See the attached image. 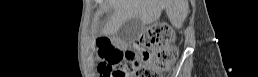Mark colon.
<instances>
[{"label":"colon","mask_w":258,"mask_h":77,"mask_svg":"<svg viewBox=\"0 0 258 77\" xmlns=\"http://www.w3.org/2000/svg\"><path fill=\"white\" fill-rule=\"evenodd\" d=\"M98 71L107 77H162L177 58L174 34L167 24L152 25L128 48L99 42Z\"/></svg>","instance_id":"1"}]
</instances>
